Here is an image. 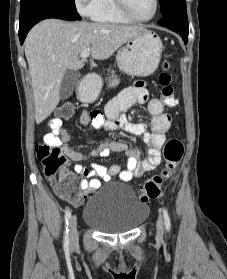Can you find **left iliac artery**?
Wrapping results in <instances>:
<instances>
[{
  "label": "left iliac artery",
  "instance_id": "44dca946",
  "mask_svg": "<svg viewBox=\"0 0 227 279\" xmlns=\"http://www.w3.org/2000/svg\"><path fill=\"white\" fill-rule=\"evenodd\" d=\"M163 217H164V223H165L166 230L169 231L170 227H171V222H170V217H169L168 211L165 208H163Z\"/></svg>",
  "mask_w": 227,
  "mask_h": 279
}]
</instances>
